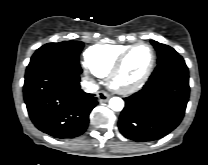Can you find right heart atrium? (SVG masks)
Listing matches in <instances>:
<instances>
[{"mask_svg": "<svg viewBox=\"0 0 208 165\" xmlns=\"http://www.w3.org/2000/svg\"><path fill=\"white\" fill-rule=\"evenodd\" d=\"M85 72H86V73H89V70L85 68Z\"/></svg>", "mask_w": 208, "mask_h": 165, "instance_id": "d8ad5b80", "label": "right heart atrium"}]
</instances>
